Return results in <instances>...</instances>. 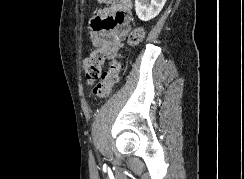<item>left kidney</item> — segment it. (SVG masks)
<instances>
[{"instance_id":"1","label":"left kidney","mask_w":244,"mask_h":179,"mask_svg":"<svg viewBox=\"0 0 244 179\" xmlns=\"http://www.w3.org/2000/svg\"><path fill=\"white\" fill-rule=\"evenodd\" d=\"M167 0H135V12L139 20L149 22L152 18H156L160 14Z\"/></svg>"}]
</instances>
